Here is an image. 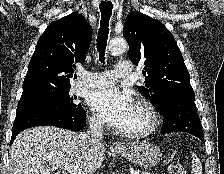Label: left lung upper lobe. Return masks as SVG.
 Returning a JSON list of instances; mask_svg holds the SVG:
<instances>
[{
	"mask_svg": "<svg viewBox=\"0 0 224 174\" xmlns=\"http://www.w3.org/2000/svg\"><path fill=\"white\" fill-rule=\"evenodd\" d=\"M123 36L129 58L145 65V86L138 89L157 109L168 95L195 96L182 54L169 30L158 20L142 13L126 17Z\"/></svg>",
	"mask_w": 224,
	"mask_h": 174,
	"instance_id": "1",
	"label": "left lung upper lobe"
}]
</instances>
